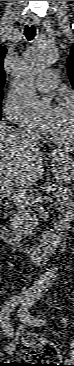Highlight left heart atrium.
Returning <instances> with one entry per match:
<instances>
[{
  "label": "left heart atrium",
  "mask_w": 74,
  "mask_h": 366,
  "mask_svg": "<svg viewBox=\"0 0 74 366\" xmlns=\"http://www.w3.org/2000/svg\"><path fill=\"white\" fill-rule=\"evenodd\" d=\"M59 107H52L45 113H43L37 120L36 123L43 129L49 130L54 120L57 117Z\"/></svg>",
  "instance_id": "39dd6f15"
}]
</instances>
